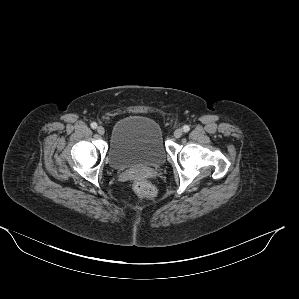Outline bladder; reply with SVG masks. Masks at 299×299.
<instances>
[{
	"instance_id": "obj_1",
	"label": "bladder",
	"mask_w": 299,
	"mask_h": 299,
	"mask_svg": "<svg viewBox=\"0 0 299 299\" xmlns=\"http://www.w3.org/2000/svg\"><path fill=\"white\" fill-rule=\"evenodd\" d=\"M166 157L162 131L154 119L129 115L113 125L107 152L108 163L113 169L159 167Z\"/></svg>"
}]
</instances>
